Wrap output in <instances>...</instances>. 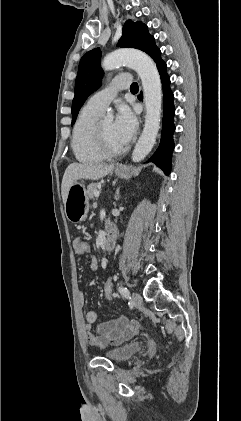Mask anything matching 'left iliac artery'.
Listing matches in <instances>:
<instances>
[{
  "mask_svg": "<svg viewBox=\"0 0 241 421\" xmlns=\"http://www.w3.org/2000/svg\"><path fill=\"white\" fill-rule=\"evenodd\" d=\"M118 291L121 293V295L125 298H130V292L126 287L120 286L118 288Z\"/></svg>",
  "mask_w": 241,
  "mask_h": 421,
  "instance_id": "left-iliac-artery-1",
  "label": "left iliac artery"
}]
</instances>
